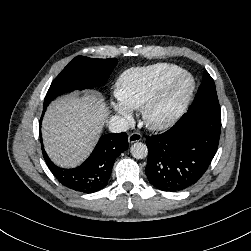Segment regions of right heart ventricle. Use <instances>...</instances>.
<instances>
[{"mask_svg": "<svg viewBox=\"0 0 251 251\" xmlns=\"http://www.w3.org/2000/svg\"><path fill=\"white\" fill-rule=\"evenodd\" d=\"M182 72L180 66L170 63L131 68L118 77L115 93L127 107L139 109L166 82Z\"/></svg>", "mask_w": 251, "mask_h": 251, "instance_id": "obj_1", "label": "right heart ventricle"}]
</instances>
